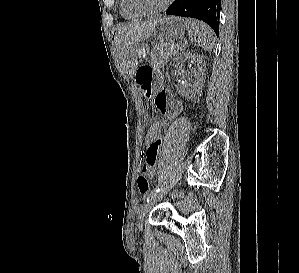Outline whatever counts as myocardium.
<instances>
[{
    "mask_svg": "<svg viewBox=\"0 0 299 273\" xmlns=\"http://www.w3.org/2000/svg\"><path fill=\"white\" fill-rule=\"evenodd\" d=\"M124 2L127 10H129L131 13L138 16H152V15L160 14L163 11H165L169 6L171 0H164L159 7L152 10L138 8L137 6L134 5L132 0H124Z\"/></svg>",
    "mask_w": 299,
    "mask_h": 273,
    "instance_id": "f54148a6",
    "label": "myocardium"
}]
</instances>
